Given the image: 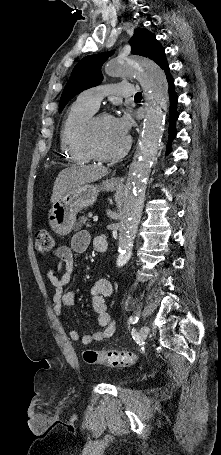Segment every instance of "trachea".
I'll list each match as a JSON object with an SVG mask.
<instances>
[{"instance_id": "obj_1", "label": "trachea", "mask_w": 221, "mask_h": 455, "mask_svg": "<svg viewBox=\"0 0 221 455\" xmlns=\"http://www.w3.org/2000/svg\"><path fill=\"white\" fill-rule=\"evenodd\" d=\"M141 97H142V94L140 92L135 94V98H141Z\"/></svg>"}]
</instances>
